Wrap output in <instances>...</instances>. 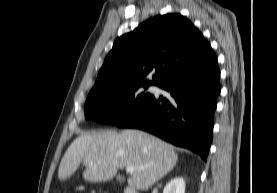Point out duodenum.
I'll return each instance as SVG.
<instances>
[{
	"label": "duodenum",
	"mask_w": 277,
	"mask_h": 193,
	"mask_svg": "<svg viewBox=\"0 0 277 193\" xmlns=\"http://www.w3.org/2000/svg\"><path fill=\"white\" fill-rule=\"evenodd\" d=\"M124 193H138L135 189L131 188V187H126L124 189Z\"/></svg>",
	"instance_id": "1"
}]
</instances>
